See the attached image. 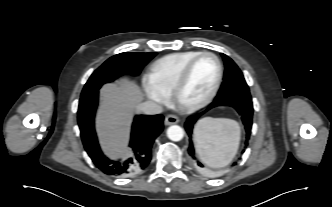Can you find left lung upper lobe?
Segmentation results:
<instances>
[{
  "instance_id": "obj_1",
  "label": "left lung upper lobe",
  "mask_w": 332,
  "mask_h": 207,
  "mask_svg": "<svg viewBox=\"0 0 332 207\" xmlns=\"http://www.w3.org/2000/svg\"><path fill=\"white\" fill-rule=\"evenodd\" d=\"M225 63L224 82L215 99L227 97L251 98L249 87L238 66L225 54H221Z\"/></svg>"
}]
</instances>
